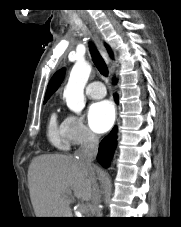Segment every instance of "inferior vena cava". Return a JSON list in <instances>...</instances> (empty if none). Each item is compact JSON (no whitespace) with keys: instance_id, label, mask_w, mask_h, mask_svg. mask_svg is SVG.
Here are the masks:
<instances>
[{"instance_id":"obj_1","label":"inferior vena cava","mask_w":181,"mask_h":227,"mask_svg":"<svg viewBox=\"0 0 181 227\" xmlns=\"http://www.w3.org/2000/svg\"><path fill=\"white\" fill-rule=\"evenodd\" d=\"M98 145L99 137L95 135L93 132L88 131L85 141L83 142V144H81V146L79 147L75 154L85 165H87L88 167H92V162L97 156ZM93 192H94L93 210L95 217H102V211L101 208L99 207L101 202V192L98 184L96 183L95 178L93 184Z\"/></svg>"}]
</instances>
